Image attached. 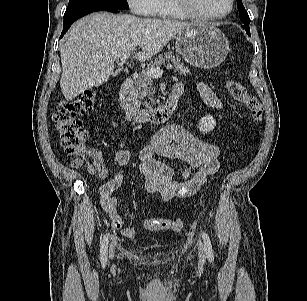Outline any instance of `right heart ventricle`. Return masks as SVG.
Returning a JSON list of instances; mask_svg holds the SVG:
<instances>
[{"instance_id": "obj_1", "label": "right heart ventricle", "mask_w": 307, "mask_h": 301, "mask_svg": "<svg viewBox=\"0 0 307 301\" xmlns=\"http://www.w3.org/2000/svg\"><path fill=\"white\" fill-rule=\"evenodd\" d=\"M160 19H185L187 16L177 11L170 0H158V11L155 15Z\"/></svg>"}]
</instances>
